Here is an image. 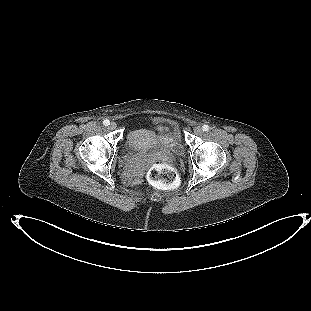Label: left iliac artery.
<instances>
[{"label": "left iliac artery", "instance_id": "obj_1", "mask_svg": "<svg viewBox=\"0 0 311 311\" xmlns=\"http://www.w3.org/2000/svg\"><path fill=\"white\" fill-rule=\"evenodd\" d=\"M209 129H210V127L208 126V125H206V124H204L203 126H202V130L203 131H209Z\"/></svg>", "mask_w": 311, "mask_h": 311}]
</instances>
